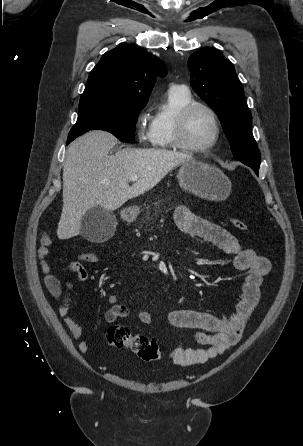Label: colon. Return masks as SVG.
Instances as JSON below:
<instances>
[{"instance_id": "obj_1", "label": "colon", "mask_w": 303, "mask_h": 446, "mask_svg": "<svg viewBox=\"0 0 303 446\" xmlns=\"http://www.w3.org/2000/svg\"><path fill=\"white\" fill-rule=\"evenodd\" d=\"M230 222L238 230H247L246 223L239 218L231 217ZM80 258L83 261L94 263L99 259V255L94 251H85L80 254ZM105 341L110 347L131 349L140 359L146 362H154L161 357V349L154 339L141 334L134 335L126 326L109 327L105 334Z\"/></svg>"}]
</instances>
